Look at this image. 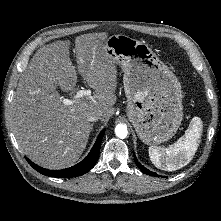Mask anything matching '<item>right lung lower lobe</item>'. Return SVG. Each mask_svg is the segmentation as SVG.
<instances>
[{"instance_id": "right-lung-lower-lobe-1", "label": "right lung lower lobe", "mask_w": 221, "mask_h": 221, "mask_svg": "<svg viewBox=\"0 0 221 221\" xmlns=\"http://www.w3.org/2000/svg\"><path fill=\"white\" fill-rule=\"evenodd\" d=\"M105 129L101 131L99 134L93 148L89 152V154L86 156L85 159H83L80 163L66 168L62 170H48L42 167H39L38 165L31 162L28 158L26 160L28 163L39 173L47 176L52 177H59V178H71V177H77L85 174L90 169H92L95 164L97 163V160L99 158L100 148H101V141L104 136Z\"/></svg>"}]
</instances>
